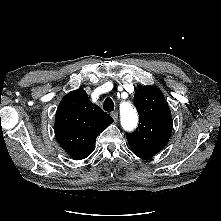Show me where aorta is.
<instances>
[{
    "mask_svg": "<svg viewBox=\"0 0 221 221\" xmlns=\"http://www.w3.org/2000/svg\"><path fill=\"white\" fill-rule=\"evenodd\" d=\"M120 120L126 131H132L137 126L138 115L131 102L126 101L120 104Z\"/></svg>",
    "mask_w": 221,
    "mask_h": 221,
    "instance_id": "1",
    "label": "aorta"
}]
</instances>
